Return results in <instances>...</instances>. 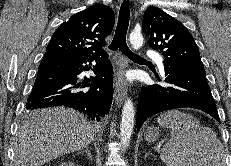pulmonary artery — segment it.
<instances>
[{"label":"pulmonary artery","instance_id":"1","mask_svg":"<svg viewBox=\"0 0 231 166\" xmlns=\"http://www.w3.org/2000/svg\"><path fill=\"white\" fill-rule=\"evenodd\" d=\"M147 56L150 57V58H152V59H154V60L158 63L160 69H161L162 71H164L163 60H162V58L159 56L158 53H155V52H153V51H149V52L147 53Z\"/></svg>","mask_w":231,"mask_h":166}]
</instances>
